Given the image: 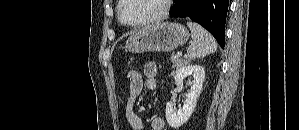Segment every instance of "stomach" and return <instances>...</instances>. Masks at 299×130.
<instances>
[{
  "label": "stomach",
  "mask_w": 299,
  "mask_h": 130,
  "mask_svg": "<svg viewBox=\"0 0 299 130\" xmlns=\"http://www.w3.org/2000/svg\"><path fill=\"white\" fill-rule=\"evenodd\" d=\"M188 38L189 32L183 25L160 22L133 33L126 41L125 50L132 53L170 52L183 45Z\"/></svg>",
  "instance_id": "1"
}]
</instances>
